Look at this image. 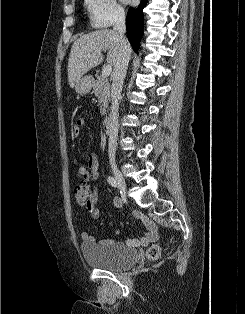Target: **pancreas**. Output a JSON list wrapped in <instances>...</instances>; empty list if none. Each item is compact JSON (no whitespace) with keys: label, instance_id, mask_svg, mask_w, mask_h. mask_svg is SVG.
<instances>
[{"label":"pancreas","instance_id":"obj_1","mask_svg":"<svg viewBox=\"0 0 245 314\" xmlns=\"http://www.w3.org/2000/svg\"><path fill=\"white\" fill-rule=\"evenodd\" d=\"M93 93L98 98L101 115H105L110 101V85L106 78L98 76L94 81Z\"/></svg>","mask_w":245,"mask_h":314}]
</instances>
